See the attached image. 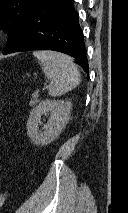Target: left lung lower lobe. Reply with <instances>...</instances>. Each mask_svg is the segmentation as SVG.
<instances>
[{
	"label": "left lung lower lobe",
	"mask_w": 128,
	"mask_h": 213,
	"mask_svg": "<svg viewBox=\"0 0 128 213\" xmlns=\"http://www.w3.org/2000/svg\"><path fill=\"white\" fill-rule=\"evenodd\" d=\"M54 50L68 54L88 73L83 32L73 0H38L4 54Z\"/></svg>",
	"instance_id": "1"
}]
</instances>
